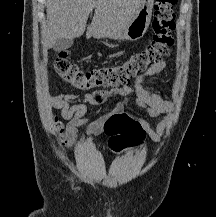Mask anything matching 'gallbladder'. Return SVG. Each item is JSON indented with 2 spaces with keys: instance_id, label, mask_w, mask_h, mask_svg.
I'll list each match as a JSON object with an SVG mask.
<instances>
[{
  "instance_id": "gallbladder-1",
  "label": "gallbladder",
  "mask_w": 216,
  "mask_h": 217,
  "mask_svg": "<svg viewBox=\"0 0 216 217\" xmlns=\"http://www.w3.org/2000/svg\"><path fill=\"white\" fill-rule=\"evenodd\" d=\"M72 45H73V39L59 38L56 40L55 44L53 45V49L55 51H62L70 48Z\"/></svg>"
}]
</instances>
